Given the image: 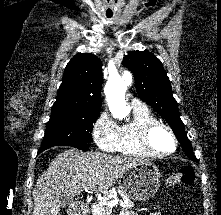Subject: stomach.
I'll use <instances>...</instances> for the list:
<instances>
[{"label": "stomach", "mask_w": 221, "mask_h": 215, "mask_svg": "<svg viewBox=\"0 0 221 215\" xmlns=\"http://www.w3.org/2000/svg\"><path fill=\"white\" fill-rule=\"evenodd\" d=\"M160 186V172L152 163L142 162L126 170L119 177V189L130 199L146 201Z\"/></svg>", "instance_id": "stomach-1"}]
</instances>
